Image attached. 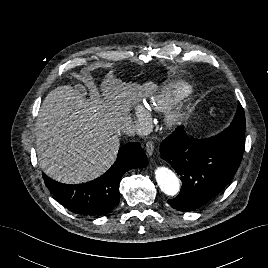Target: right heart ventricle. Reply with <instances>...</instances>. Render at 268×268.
I'll return each mask as SVG.
<instances>
[{"instance_id":"e07e8e85","label":"right heart ventricle","mask_w":268,"mask_h":268,"mask_svg":"<svg viewBox=\"0 0 268 268\" xmlns=\"http://www.w3.org/2000/svg\"><path fill=\"white\" fill-rule=\"evenodd\" d=\"M188 88V84L179 82L172 89L155 91L148 98L146 106L151 113L166 111L187 92Z\"/></svg>"}]
</instances>
